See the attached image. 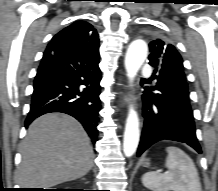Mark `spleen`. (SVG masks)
<instances>
[{
	"label": "spleen",
	"mask_w": 218,
	"mask_h": 191,
	"mask_svg": "<svg viewBox=\"0 0 218 191\" xmlns=\"http://www.w3.org/2000/svg\"><path fill=\"white\" fill-rule=\"evenodd\" d=\"M165 166L168 172H147L142 183L152 191H202L193 160L180 148L167 147Z\"/></svg>",
	"instance_id": "spleen-1"
}]
</instances>
